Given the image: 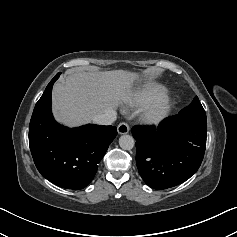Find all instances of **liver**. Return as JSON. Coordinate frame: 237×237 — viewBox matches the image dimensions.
Returning <instances> with one entry per match:
<instances>
[{
  "instance_id": "obj_1",
  "label": "liver",
  "mask_w": 237,
  "mask_h": 237,
  "mask_svg": "<svg viewBox=\"0 0 237 237\" xmlns=\"http://www.w3.org/2000/svg\"><path fill=\"white\" fill-rule=\"evenodd\" d=\"M138 78V73L126 70L70 71L53 87L55 119L69 127L91 122L96 115L127 102Z\"/></svg>"
}]
</instances>
